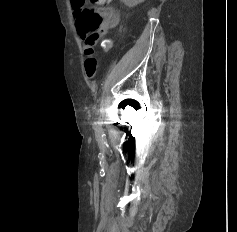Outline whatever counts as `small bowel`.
Wrapping results in <instances>:
<instances>
[{
  "instance_id": "c3829d8e",
  "label": "small bowel",
  "mask_w": 237,
  "mask_h": 232,
  "mask_svg": "<svg viewBox=\"0 0 237 232\" xmlns=\"http://www.w3.org/2000/svg\"><path fill=\"white\" fill-rule=\"evenodd\" d=\"M102 5V4H100ZM109 9L106 8H99L97 12L100 15L106 16V19L102 23V32L106 33L109 29H112L116 26L118 22V14L115 11H111L110 14H107V11ZM107 48L105 47V50ZM94 49L93 45L86 42L85 48H84V69L87 77L91 78L94 76L96 72V59L94 57Z\"/></svg>"
}]
</instances>
